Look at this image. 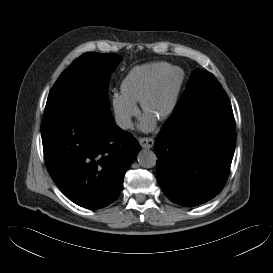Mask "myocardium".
<instances>
[{
  "label": "myocardium",
  "mask_w": 273,
  "mask_h": 273,
  "mask_svg": "<svg viewBox=\"0 0 273 273\" xmlns=\"http://www.w3.org/2000/svg\"><path fill=\"white\" fill-rule=\"evenodd\" d=\"M170 71H172V70L171 69H163L160 72H158L154 76V78L151 80V82L147 85L145 90L143 91V93L141 95V98H140V105H141L142 111H143V113L145 115L148 114V112H147V102H148L149 97L151 96L152 92L154 91V89L156 88L157 84L162 79V77L164 75H166L167 73H169ZM178 77H179L178 78V83H177V87H176L174 96L172 98V101H171L169 107L161 115H159L157 117L159 120H163V119L168 118L176 108V105H177L178 100H179V95H180V91H181V88H182V84H183V75L181 74Z\"/></svg>",
  "instance_id": "1"
}]
</instances>
